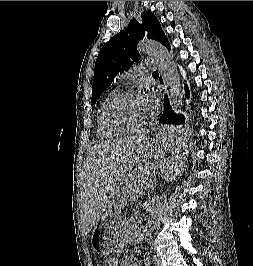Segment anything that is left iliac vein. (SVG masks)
Instances as JSON below:
<instances>
[{
  "label": "left iliac vein",
  "mask_w": 253,
  "mask_h": 266,
  "mask_svg": "<svg viewBox=\"0 0 253 266\" xmlns=\"http://www.w3.org/2000/svg\"><path fill=\"white\" fill-rule=\"evenodd\" d=\"M156 266H162L161 262L158 260V263L156 264Z\"/></svg>",
  "instance_id": "1"
}]
</instances>
